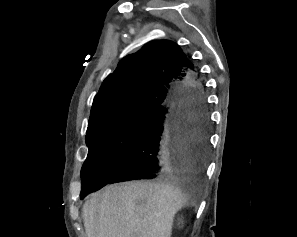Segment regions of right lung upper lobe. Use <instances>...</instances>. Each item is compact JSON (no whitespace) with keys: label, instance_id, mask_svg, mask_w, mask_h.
<instances>
[{"label":"right lung upper lobe","instance_id":"1","mask_svg":"<svg viewBox=\"0 0 297 237\" xmlns=\"http://www.w3.org/2000/svg\"><path fill=\"white\" fill-rule=\"evenodd\" d=\"M194 66L172 41L158 40L124 57L93 100L88 128L134 112H154L169 102L172 90L189 82Z\"/></svg>","mask_w":297,"mask_h":237}]
</instances>
